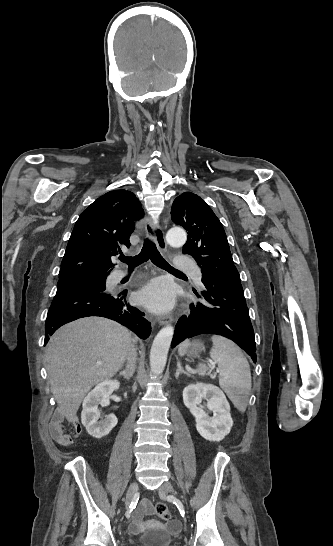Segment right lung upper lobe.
I'll list each match as a JSON object with an SVG mask.
<instances>
[{
  "label": "right lung upper lobe",
  "instance_id": "cb5924a9",
  "mask_svg": "<svg viewBox=\"0 0 333 546\" xmlns=\"http://www.w3.org/2000/svg\"><path fill=\"white\" fill-rule=\"evenodd\" d=\"M144 211L129 191L113 190L95 200L75 223L59 272V280L107 275L111 256L130 246L134 221ZM109 270V271H108Z\"/></svg>",
  "mask_w": 333,
  "mask_h": 546
}]
</instances>
